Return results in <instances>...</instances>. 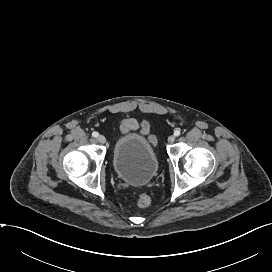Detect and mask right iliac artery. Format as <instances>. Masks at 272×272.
Returning a JSON list of instances; mask_svg holds the SVG:
<instances>
[{"label": "right iliac artery", "instance_id": "82829eb1", "mask_svg": "<svg viewBox=\"0 0 272 272\" xmlns=\"http://www.w3.org/2000/svg\"><path fill=\"white\" fill-rule=\"evenodd\" d=\"M92 136L96 138V137L99 136V133L95 131V132L92 133Z\"/></svg>", "mask_w": 272, "mask_h": 272}]
</instances>
